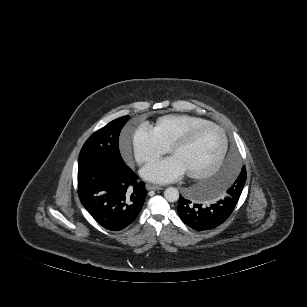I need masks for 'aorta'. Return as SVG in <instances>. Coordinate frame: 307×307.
Returning a JSON list of instances; mask_svg holds the SVG:
<instances>
[{
	"label": "aorta",
	"instance_id": "762f6f07",
	"mask_svg": "<svg viewBox=\"0 0 307 307\" xmlns=\"http://www.w3.org/2000/svg\"><path fill=\"white\" fill-rule=\"evenodd\" d=\"M164 197L168 202H176L179 199V191L175 187H168L164 191Z\"/></svg>",
	"mask_w": 307,
	"mask_h": 307
}]
</instances>
